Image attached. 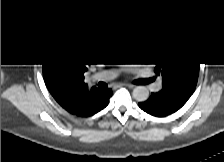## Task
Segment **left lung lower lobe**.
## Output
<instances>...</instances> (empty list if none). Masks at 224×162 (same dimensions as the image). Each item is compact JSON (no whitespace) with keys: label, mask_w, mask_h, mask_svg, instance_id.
Masks as SVG:
<instances>
[{"label":"left lung lower lobe","mask_w":224,"mask_h":162,"mask_svg":"<svg viewBox=\"0 0 224 162\" xmlns=\"http://www.w3.org/2000/svg\"><path fill=\"white\" fill-rule=\"evenodd\" d=\"M189 99L186 95L157 92L152 93L148 100L139 103V107L145 112L164 117L179 110Z\"/></svg>","instance_id":"1"}]
</instances>
